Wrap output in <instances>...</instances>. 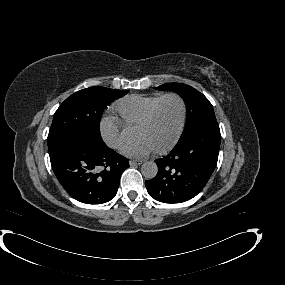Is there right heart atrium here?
<instances>
[{"instance_id": "d8ad5b80", "label": "right heart atrium", "mask_w": 285, "mask_h": 285, "mask_svg": "<svg viewBox=\"0 0 285 285\" xmlns=\"http://www.w3.org/2000/svg\"><path fill=\"white\" fill-rule=\"evenodd\" d=\"M100 133L104 142L115 149L127 142V136L119 120L111 115L105 116L100 123Z\"/></svg>"}]
</instances>
